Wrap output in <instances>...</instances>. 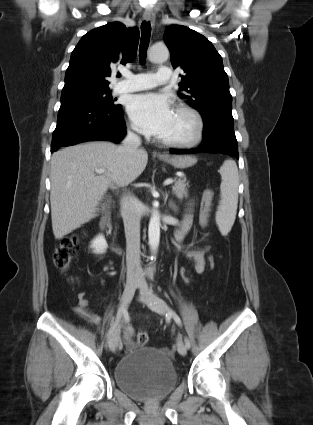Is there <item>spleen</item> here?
Segmentation results:
<instances>
[{"label": "spleen", "instance_id": "1", "mask_svg": "<svg viewBox=\"0 0 313 425\" xmlns=\"http://www.w3.org/2000/svg\"><path fill=\"white\" fill-rule=\"evenodd\" d=\"M219 172L222 177L221 200L216 212V223L221 234L225 236L230 232L236 218L239 174L236 162L231 159L224 161Z\"/></svg>", "mask_w": 313, "mask_h": 425}]
</instances>
